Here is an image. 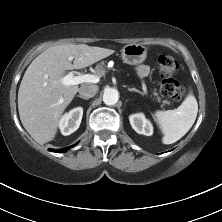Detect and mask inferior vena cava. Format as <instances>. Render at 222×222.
Wrapping results in <instances>:
<instances>
[{"instance_id": "1", "label": "inferior vena cava", "mask_w": 222, "mask_h": 222, "mask_svg": "<svg viewBox=\"0 0 222 222\" xmlns=\"http://www.w3.org/2000/svg\"><path fill=\"white\" fill-rule=\"evenodd\" d=\"M98 92V86L93 84H83L79 88V94L86 98H91Z\"/></svg>"}]
</instances>
